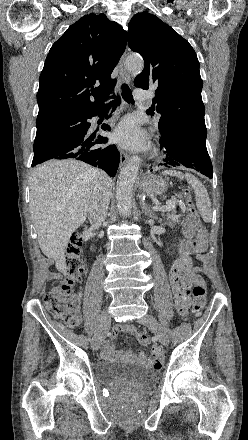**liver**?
<instances>
[{
  "mask_svg": "<svg viewBox=\"0 0 248 440\" xmlns=\"http://www.w3.org/2000/svg\"><path fill=\"white\" fill-rule=\"evenodd\" d=\"M96 170L76 160H51L31 174L30 211L38 243L60 272L66 271L70 237L88 216Z\"/></svg>",
  "mask_w": 248,
  "mask_h": 440,
  "instance_id": "obj_1",
  "label": "liver"
}]
</instances>
